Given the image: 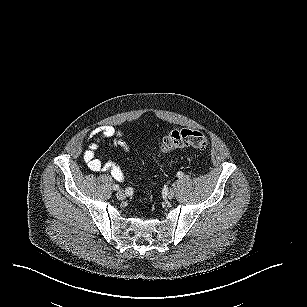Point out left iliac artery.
<instances>
[{
	"instance_id": "44dca946",
	"label": "left iliac artery",
	"mask_w": 307,
	"mask_h": 307,
	"mask_svg": "<svg viewBox=\"0 0 307 307\" xmlns=\"http://www.w3.org/2000/svg\"><path fill=\"white\" fill-rule=\"evenodd\" d=\"M183 175H184V174H183V172H181V171H179V172L177 173V177H178V178H182Z\"/></svg>"
}]
</instances>
